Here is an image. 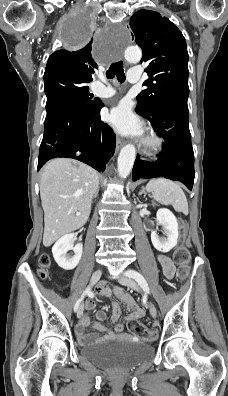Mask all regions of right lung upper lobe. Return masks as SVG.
Here are the masks:
<instances>
[{
    "label": "right lung upper lobe",
    "mask_w": 228,
    "mask_h": 396,
    "mask_svg": "<svg viewBox=\"0 0 228 396\" xmlns=\"http://www.w3.org/2000/svg\"><path fill=\"white\" fill-rule=\"evenodd\" d=\"M92 40L79 50L54 52L48 59L44 77L74 75L92 81L91 74L98 68L92 54Z\"/></svg>",
    "instance_id": "obj_1"
}]
</instances>
